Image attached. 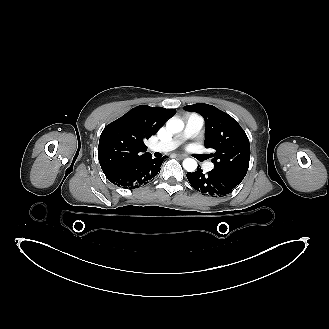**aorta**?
Wrapping results in <instances>:
<instances>
[{"label":"aorta","mask_w":329,"mask_h":329,"mask_svg":"<svg viewBox=\"0 0 329 329\" xmlns=\"http://www.w3.org/2000/svg\"><path fill=\"white\" fill-rule=\"evenodd\" d=\"M167 129L172 133H179L184 128V122L177 118H171L167 121ZM183 168L188 172H194L197 169V162L193 158H186L183 161Z\"/></svg>","instance_id":"obj_1"}]
</instances>
